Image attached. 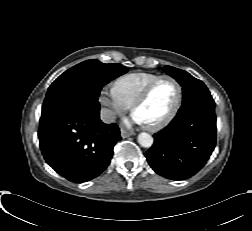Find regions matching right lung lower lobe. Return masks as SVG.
<instances>
[{"label":"right lung lower lobe","instance_id":"98d812e1","mask_svg":"<svg viewBox=\"0 0 252 231\" xmlns=\"http://www.w3.org/2000/svg\"><path fill=\"white\" fill-rule=\"evenodd\" d=\"M100 109L62 104L42 112L39 141L46 162L69 181H89L110 164L121 139L115 123L105 124Z\"/></svg>","mask_w":252,"mask_h":231}]
</instances>
